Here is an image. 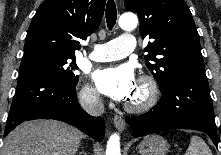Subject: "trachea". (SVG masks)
<instances>
[{"label":"trachea","mask_w":221,"mask_h":155,"mask_svg":"<svg viewBox=\"0 0 221 155\" xmlns=\"http://www.w3.org/2000/svg\"><path fill=\"white\" fill-rule=\"evenodd\" d=\"M117 19V10H116V4L114 0H108L107 6H106V22L107 27L111 30Z\"/></svg>","instance_id":"1"}]
</instances>
